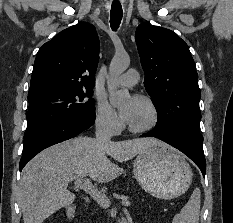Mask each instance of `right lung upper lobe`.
<instances>
[{
    "mask_svg": "<svg viewBox=\"0 0 233 223\" xmlns=\"http://www.w3.org/2000/svg\"><path fill=\"white\" fill-rule=\"evenodd\" d=\"M98 60L95 27L87 23L71 26L39 49L28 94L51 88H93Z\"/></svg>",
    "mask_w": 233,
    "mask_h": 223,
    "instance_id": "cb5924a9",
    "label": "right lung upper lobe"
}]
</instances>
